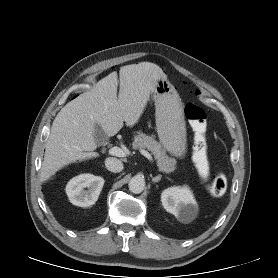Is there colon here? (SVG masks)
<instances>
[{"instance_id": "colon-1", "label": "colon", "mask_w": 278, "mask_h": 278, "mask_svg": "<svg viewBox=\"0 0 278 278\" xmlns=\"http://www.w3.org/2000/svg\"><path fill=\"white\" fill-rule=\"evenodd\" d=\"M185 115L194 131L193 156L200 168L206 166L207 162V115L203 108L195 103L185 106ZM227 188V178L223 171L213 175L211 182L207 185L208 193L213 197L222 196Z\"/></svg>"}]
</instances>
